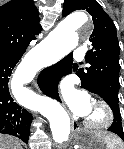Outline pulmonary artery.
<instances>
[{
  "instance_id": "e3ab8cb5",
  "label": "pulmonary artery",
  "mask_w": 124,
  "mask_h": 149,
  "mask_svg": "<svg viewBox=\"0 0 124 149\" xmlns=\"http://www.w3.org/2000/svg\"><path fill=\"white\" fill-rule=\"evenodd\" d=\"M84 55H85V49L82 46L76 48L73 52V56L77 60H82L84 58Z\"/></svg>"
}]
</instances>
